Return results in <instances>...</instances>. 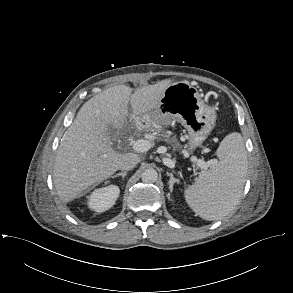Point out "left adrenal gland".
Returning <instances> with one entry per match:
<instances>
[{
  "mask_svg": "<svg viewBox=\"0 0 293 293\" xmlns=\"http://www.w3.org/2000/svg\"><path fill=\"white\" fill-rule=\"evenodd\" d=\"M167 175L170 177V180H169V190L170 192L173 191V186L174 184H179V180L174 178L173 174L172 173H167Z\"/></svg>",
  "mask_w": 293,
  "mask_h": 293,
  "instance_id": "obj_1",
  "label": "left adrenal gland"
}]
</instances>
